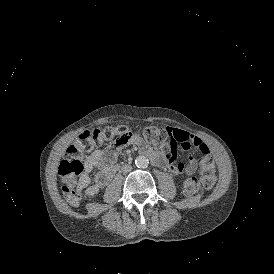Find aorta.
<instances>
[{"label":"aorta","instance_id":"obj_1","mask_svg":"<svg viewBox=\"0 0 274 274\" xmlns=\"http://www.w3.org/2000/svg\"><path fill=\"white\" fill-rule=\"evenodd\" d=\"M149 164V160L147 157L145 156H138L136 159H135V165L138 167V168H146Z\"/></svg>","mask_w":274,"mask_h":274}]
</instances>
